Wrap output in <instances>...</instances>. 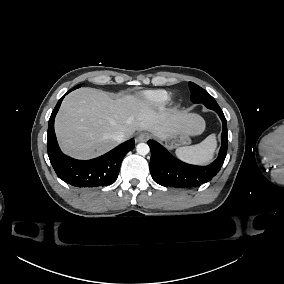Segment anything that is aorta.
<instances>
[{"instance_id": "aorta-1", "label": "aorta", "mask_w": 284, "mask_h": 284, "mask_svg": "<svg viewBox=\"0 0 284 284\" xmlns=\"http://www.w3.org/2000/svg\"><path fill=\"white\" fill-rule=\"evenodd\" d=\"M136 151L140 155H147L150 151V148H149L148 144H146V143H139L136 146Z\"/></svg>"}]
</instances>
